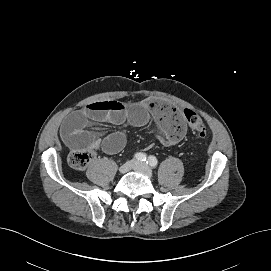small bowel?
<instances>
[{
    "label": "small bowel",
    "instance_id": "c3829d8e",
    "mask_svg": "<svg viewBox=\"0 0 271 271\" xmlns=\"http://www.w3.org/2000/svg\"><path fill=\"white\" fill-rule=\"evenodd\" d=\"M152 115L164 133L165 146L177 144L186 133L185 118L168 104L152 99L141 105L126 109L118 101L94 102L71 114L61 126V136L71 148L102 149L108 154L119 152L125 145L123 132L117 131L105 138L89 130L91 122H108L120 125L126 121L135 126L145 125Z\"/></svg>",
    "mask_w": 271,
    "mask_h": 271
}]
</instances>
